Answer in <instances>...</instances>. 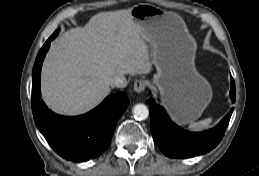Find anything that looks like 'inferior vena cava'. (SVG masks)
<instances>
[{"label": "inferior vena cava", "mask_w": 259, "mask_h": 176, "mask_svg": "<svg viewBox=\"0 0 259 176\" xmlns=\"http://www.w3.org/2000/svg\"><path fill=\"white\" fill-rule=\"evenodd\" d=\"M111 86L116 87V88H124L127 86V80L124 75H119L114 77L111 82Z\"/></svg>", "instance_id": "inferior-vena-cava-1"}]
</instances>
